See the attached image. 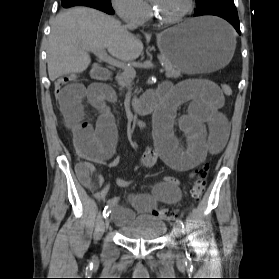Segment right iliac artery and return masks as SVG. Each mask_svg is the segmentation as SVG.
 <instances>
[{
	"label": "right iliac artery",
	"instance_id": "1",
	"mask_svg": "<svg viewBox=\"0 0 279 279\" xmlns=\"http://www.w3.org/2000/svg\"><path fill=\"white\" fill-rule=\"evenodd\" d=\"M110 213H111V209L109 208V206H106L103 211V217L104 218L108 217Z\"/></svg>",
	"mask_w": 279,
	"mask_h": 279
}]
</instances>
